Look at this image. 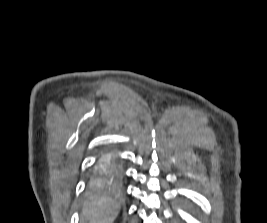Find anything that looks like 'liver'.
<instances>
[{
    "label": "liver",
    "mask_w": 267,
    "mask_h": 223,
    "mask_svg": "<svg viewBox=\"0 0 267 223\" xmlns=\"http://www.w3.org/2000/svg\"><path fill=\"white\" fill-rule=\"evenodd\" d=\"M120 205L105 196L90 197L82 210V223H113Z\"/></svg>",
    "instance_id": "obj_1"
}]
</instances>
